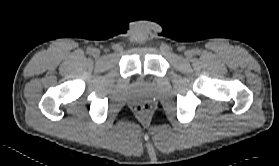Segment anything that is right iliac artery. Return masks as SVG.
Wrapping results in <instances>:
<instances>
[{"mask_svg": "<svg viewBox=\"0 0 279 166\" xmlns=\"http://www.w3.org/2000/svg\"><path fill=\"white\" fill-rule=\"evenodd\" d=\"M92 52H93V48L88 47V48H87V53H89V54H90V53H92Z\"/></svg>", "mask_w": 279, "mask_h": 166, "instance_id": "82829eb1", "label": "right iliac artery"}]
</instances>
